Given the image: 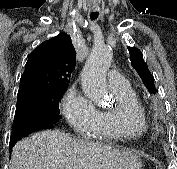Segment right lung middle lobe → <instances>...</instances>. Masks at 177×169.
<instances>
[{"instance_id": "obj_1", "label": "right lung middle lobe", "mask_w": 177, "mask_h": 169, "mask_svg": "<svg viewBox=\"0 0 177 169\" xmlns=\"http://www.w3.org/2000/svg\"><path fill=\"white\" fill-rule=\"evenodd\" d=\"M66 90L48 95H25L17 97V106L14 120L21 118H41L52 123L59 122L61 115L59 103Z\"/></svg>"}]
</instances>
